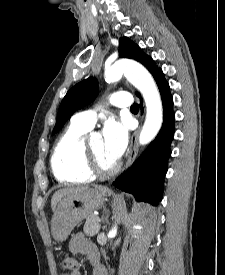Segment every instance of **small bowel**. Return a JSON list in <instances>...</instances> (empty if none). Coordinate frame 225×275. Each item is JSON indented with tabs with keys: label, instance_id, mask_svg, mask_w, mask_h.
<instances>
[{
	"label": "small bowel",
	"instance_id": "1",
	"mask_svg": "<svg viewBox=\"0 0 225 275\" xmlns=\"http://www.w3.org/2000/svg\"><path fill=\"white\" fill-rule=\"evenodd\" d=\"M69 249L73 254H82L93 264L92 275H108L106 268L99 262V252L97 247L82 233H77L72 236ZM61 275H81L80 271L71 273H62Z\"/></svg>",
	"mask_w": 225,
	"mask_h": 275
}]
</instances>
